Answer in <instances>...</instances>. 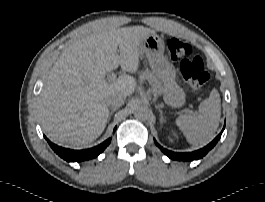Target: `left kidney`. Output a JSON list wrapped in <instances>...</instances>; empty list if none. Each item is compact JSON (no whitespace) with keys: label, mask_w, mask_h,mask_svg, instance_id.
Returning a JSON list of instances; mask_svg holds the SVG:
<instances>
[{"label":"left kidney","mask_w":265,"mask_h":202,"mask_svg":"<svg viewBox=\"0 0 265 202\" xmlns=\"http://www.w3.org/2000/svg\"><path fill=\"white\" fill-rule=\"evenodd\" d=\"M173 135L177 138V135L175 133H173Z\"/></svg>","instance_id":"1"}]
</instances>
